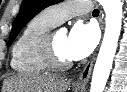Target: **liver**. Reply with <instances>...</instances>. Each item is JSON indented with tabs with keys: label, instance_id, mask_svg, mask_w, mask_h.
Masks as SVG:
<instances>
[{
	"label": "liver",
	"instance_id": "obj_1",
	"mask_svg": "<svg viewBox=\"0 0 127 92\" xmlns=\"http://www.w3.org/2000/svg\"><path fill=\"white\" fill-rule=\"evenodd\" d=\"M70 81L55 76L18 75L7 78L3 92H66Z\"/></svg>",
	"mask_w": 127,
	"mask_h": 92
}]
</instances>
